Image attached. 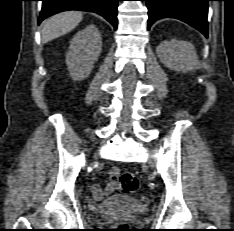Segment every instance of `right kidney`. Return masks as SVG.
Returning <instances> with one entry per match:
<instances>
[{
    "mask_svg": "<svg viewBox=\"0 0 234 231\" xmlns=\"http://www.w3.org/2000/svg\"><path fill=\"white\" fill-rule=\"evenodd\" d=\"M102 48V38L95 25L79 31L70 42L66 64L74 80L88 77Z\"/></svg>",
    "mask_w": 234,
    "mask_h": 231,
    "instance_id": "right-kidney-1",
    "label": "right kidney"
}]
</instances>
